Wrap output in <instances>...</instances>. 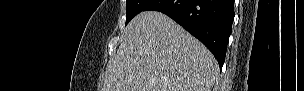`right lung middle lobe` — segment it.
Wrapping results in <instances>:
<instances>
[{"label":"right lung middle lobe","mask_w":304,"mask_h":91,"mask_svg":"<svg viewBox=\"0 0 304 91\" xmlns=\"http://www.w3.org/2000/svg\"><path fill=\"white\" fill-rule=\"evenodd\" d=\"M152 0H126V24L151 3Z\"/></svg>","instance_id":"dd1d6c3e"}]
</instances>
